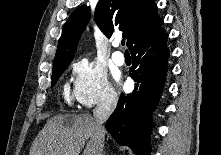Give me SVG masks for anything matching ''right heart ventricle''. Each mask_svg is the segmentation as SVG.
I'll use <instances>...</instances> for the list:
<instances>
[{"label":"right heart ventricle","instance_id":"obj_1","mask_svg":"<svg viewBox=\"0 0 221 155\" xmlns=\"http://www.w3.org/2000/svg\"><path fill=\"white\" fill-rule=\"evenodd\" d=\"M63 95H64L65 101H66L68 104H71V103H72V94H71V92H70V89H69V86H68V85H66V86L64 87Z\"/></svg>","mask_w":221,"mask_h":155}]
</instances>
